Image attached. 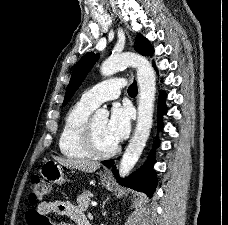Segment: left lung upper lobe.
Returning a JSON list of instances; mask_svg holds the SVG:
<instances>
[{"instance_id": "1", "label": "left lung upper lobe", "mask_w": 228, "mask_h": 225, "mask_svg": "<svg viewBox=\"0 0 228 225\" xmlns=\"http://www.w3.org/2000/svg\"><path fill=\"white\" fill-rule=\"evenodd\" d=\"M135 46L134 49L138 51L140 54L144 56H151L154 53V49L152 48L149 41L144 38L141 34H138L135 38ZM99 57V54H95L93 52L86 53L83 58L76 64L69 85L66 90L65 99L63 102V106H65L78 87L81 85L82 81L85 79L87 73L91 69V67L95 64Z\"/></svg>"}]
</instances>
